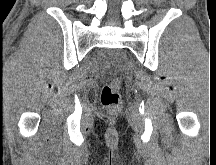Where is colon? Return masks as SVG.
<instances>
[{"instance_id": "5ec220e1", "label": "colon", "mask_w": 216, "mask_h": 165, "mask_svg": "<svg viewBox=\"0 0 216 165\" xmlns=\"http://www.w3.org/2000/svg\"><path fill=\"white\" fill-rule=\"evenodd\" d=\"M120 87L121 82L115 78L106 84L101 91V103L111 112H116L120 106Z\"/></svg>"}]
</instances>
